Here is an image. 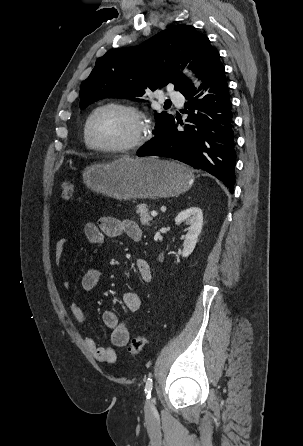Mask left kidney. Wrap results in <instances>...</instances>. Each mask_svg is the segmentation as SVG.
I'll return each mask as SVG.
<instances>
[{
	"instance_id": "left-kidney-1",
	"label": "left kidney",
	"mask_w": 303,
	"mask_h": 446,
	"mask_svg": "<svg viewBox=\"0 0 303 446\" xmlns=\"http://www.w3.org/2000/svg\"><path fill=\"white\" fill-rule=\"evenodd\" d=\"M184 222L189 225L188 232L184 240V248L182 251V257H188L194 250L199 234L203 225V213L198 207H190L180 212L176 218L175 223L180 224Z\"/></svg>"
}]
</instances>
